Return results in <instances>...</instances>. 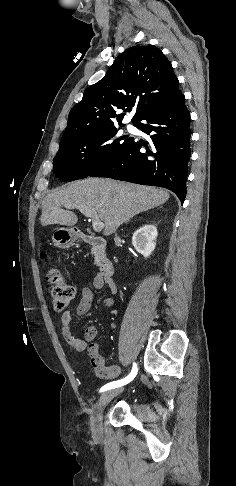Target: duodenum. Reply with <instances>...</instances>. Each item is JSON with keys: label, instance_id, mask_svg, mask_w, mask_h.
Listing matches in <instances>:
<instances>
[{"label": "duodenum", "instance_id": "1", "mask_svg": "<svg viewBox=\"0 0 236 486\" xmlns=\"http://www.w3.org/2000/svg\"><path fill=\"white\" fill-rule=\"evenodd\" d=\"M79 239L89 245L94 251L97 259L100 276L105 280H110L114 273L113 263L106 256V242L103 238L79 232Z\"/></svg>", "mask_w": 236, "mask_h": 486}]
</instances>
